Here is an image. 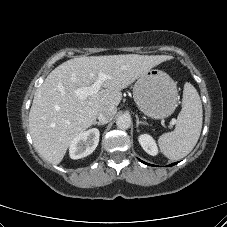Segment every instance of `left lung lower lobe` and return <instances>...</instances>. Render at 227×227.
Listing matches in <instances>:
<instances>
[{
  "label": "left lung lower lobe",
  "mask_w": 227,
  "mask_h": 227,
  "mask_svg": "<svg viewBox=\"0 0 227 227\" xmlns=\"http://www.w3.org/2000/svg\"><path fill=\"white\" fill-rule=\"evenodd\" d=\"M142 163H144L143 161H141ZM144 164H147V163H144ZM176 163H174V164H171V165H169V166H172V165H175ZM147 165H149V164H147Z\"/></svg>",
  "instance_id": "obj_1"
}]
</instances>
